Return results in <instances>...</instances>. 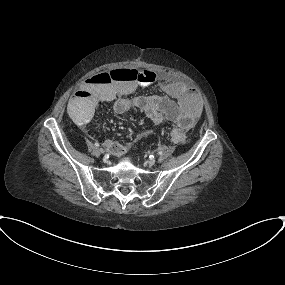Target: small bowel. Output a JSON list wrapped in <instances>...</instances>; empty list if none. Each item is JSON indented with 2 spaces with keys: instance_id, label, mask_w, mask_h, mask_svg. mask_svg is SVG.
<instances>
[{
  "instance_id": "c3829d8e",
  "label": "small bowel",
  "mask_w": 285,
  "mask_h": 285,
  "mask_svg": "<svg viewBox=\"0 0 285 285\" xmlns=\"http://www.w3.org/2000/svg\"><path fill=\"white\" fill-rule=\"evenodd\" d=\"M127 68H115L110 71H101L89 78L86 84L77 90L67 103V111L73 121L83 126L90 122L99 102L112 103L113 111L124 114L138 109L143 112L154 124L161 125L166 120L174 127L170 131L172 141L176 144L187 141L186 132L197 122L201 115V105L193 91L183 79L171 74L157 76L154 81L127 82L113 77V72ZM101 75L110 79V83L103 82ZM155 84L162 94L135 96L130 98L138 88ZM182 138V140L180 139ZM141 134H136L133 140L138 141ZM104 146L114 155L121 156L128 150V144L111 139L104 141Z\"/></svg>"
}]
</instances>
